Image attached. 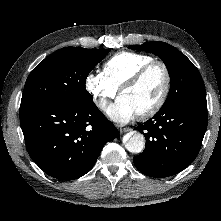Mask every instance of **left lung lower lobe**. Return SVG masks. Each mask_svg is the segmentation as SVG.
<instances>
[{"mask_svg":"<svg viewBox=\"0 0 221 221\" xmlns=\"http://www.w3.org/2000/svg\"><path fill=\"white\" fill-rule=\"evenodd\" d=\"M207 127V102H176L135 127L146 138L144 151L133 158L150 177H168L189 166L200 150Z\"/></svg>","mask_w":221,"mask_h":221,"instance_id":"0a47b994","label":"left lung lower lobe"}]
</instances>
